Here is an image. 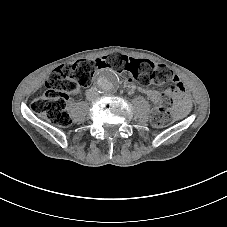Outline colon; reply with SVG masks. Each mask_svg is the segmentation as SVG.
Masks as SVG:
<instances>
[{"label":"colon","instance_id":"obj_1","mask_svg":"<svg viewBox=\"0 0 227 227\" xmlns=\"http://www.w3.org/2000/svg\"><path fill=\"white\" fill-rule=\"evenodd\" d=\"M105 68H111L120 74H129L143 87L172 82L173 85L161 94L164 105L156 108L151 116V122L157 128L170 123L169 105L183 91V84L178 76L163 64L129 58L118 53L57 67L49 76L45 90L34 99L33 110L53 124L61 127L69 126L71 124V116L67 109L69 94L75 93L79 86H88L94 72Z\"/></svg>","mask_w":227,"mask_h":227}]
</instances>
